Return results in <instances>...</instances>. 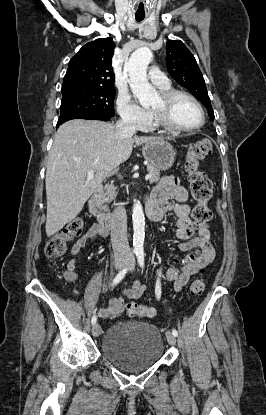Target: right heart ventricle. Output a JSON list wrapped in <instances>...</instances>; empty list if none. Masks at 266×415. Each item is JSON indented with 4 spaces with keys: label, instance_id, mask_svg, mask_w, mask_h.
Listing matches in <instances>:
<instances>
[{
    "label": "right heart ventricle",
    "instance_id": "e07e8e85",
    "mask_svg": "<svg viewBox=\"0 0 266 415\" xmlns=\"http://www.w3.org/2000/svg\"><path fill=\"white\" fill-rule=\"evenodd\" d=\"M161 90H167V89H170V86L168 85V86H164V87H159ZM155 125V124H154Z\"/></svg>",
    "mask_w": 266,
    "mask_h": 415
}]
</instances>
